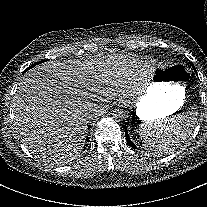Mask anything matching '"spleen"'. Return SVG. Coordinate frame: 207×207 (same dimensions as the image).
Wrapping results in <instances>:
<instances>
[{
    "label": "spleen",
    "instance_id": "3e777b00",
    "mask_svg": "<svg viewBox=\"0 0 207 207\" xmlns=\"http://www.w3.org/2000/svg\"><path fill=\"white\" fill-rule=\"evenodd\" d=\"M201 111L196 106L166 119L145 122L137 132V143L155 155L163 156L182 146L199 125Z\"/></svg>",
    "mask_w": 207,
    "mask_h": 207
}]
</instances>
